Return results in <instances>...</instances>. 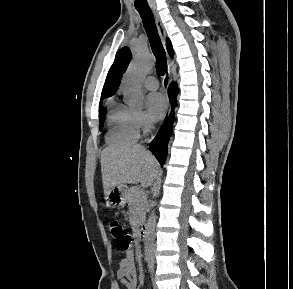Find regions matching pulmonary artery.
<instances>
[{
    "instance_id": "1",
    "label": "pulmonary artery",
    "mask_w": 293,
    "mask_h": 289,
    "mask_svg": "<svg viewBox=\"0 0 293 289\" xmlns=\"http://www.w3.org/2000/svg\"><path fill=\"white\" fill-rule=\"evenodd\" d=\"M144 85L149 90H156L159 87V82L157 78L149 76L144 80Z\"/></svg>"
}]
</instances>
